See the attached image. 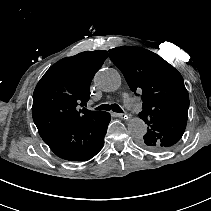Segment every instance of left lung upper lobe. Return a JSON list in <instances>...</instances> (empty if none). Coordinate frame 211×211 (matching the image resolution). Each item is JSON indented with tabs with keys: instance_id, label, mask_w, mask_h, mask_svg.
I'll return each instance as SVG.
<instances>
[{
	"instance_id": "1",
	"label": "left lung upper lobe",
	"mask_w": 211,
	"mask_h": 211,
	"mask_svg": "<svg viewBox=\"0 0 211 211\" xmlns=\"http://www.w3.org/2000/svg\"><path fill=\"white\" fill-rule=\"evenodd\" d=\"M130 89L143 101L139 117L147 124L141 146L163 152L179 142L188 119L189 96L181 74L156 53L141 47L109 50Z\"/></svg>"
}]
</instances>
